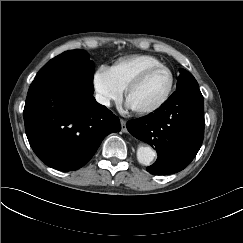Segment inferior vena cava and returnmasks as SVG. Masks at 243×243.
<instances>
[{"mask_svg": "<svg viewBox=\"0 0 243 243\" xmlns=\"http://www.w3.org/2000/svg\"><path fill=\"white\" fill-rule=\"evenodd\" d=\"M95 98H96V101H97L98 103H100V104H102V105H105V106H107V107L110 106V100H109L108 98H106V97H104V96H102V95H100V94H97V95L95 96Z\"/></svg>", "mask_w": 243, "mask_h": 243, "instance_id": "1", "label": "inferior vena cava"}]
</instances>
